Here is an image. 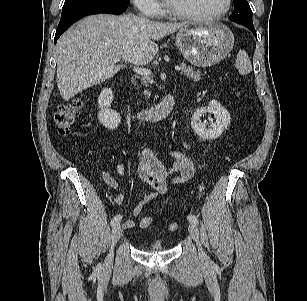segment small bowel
I'll return each instance as SVG.
<instances>
[{"label": "small bowel", "mask_w": 307, "mask_h": 301, "mask_svg": "<svg viewBox=\"0 0 307 301\" xmlns=\"http://www.w3.org/2000/svg\"><path fill=\"white\" fill-rule=\"evenodd\" d=\"M183 146L184 149L169 153V156L173 160V166L170 169L165 168L152 151H144L142 161L138 167V173L140 178L152 187V191L147 193L133 208L134 216H139L144 206L157 196L167 194L171 184L185 183L193 178L195 175V166L192 158L187 153L190 147L186 144ZM117 173L119 175L124 173L123 163L117 165ZM173 174L175 176L171 178ZM102 178L110 188L114 190L117 188V182L109 172H103ZM113 199L117 204H123L125 202V196L121 193H115ZM134 226L135 222L132 219H126L122 223V227L126 230L132 229Z\"/></svg>", "instance_id": "obj_1"}]
</instances>
